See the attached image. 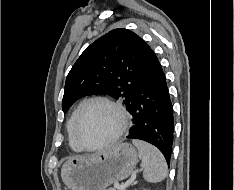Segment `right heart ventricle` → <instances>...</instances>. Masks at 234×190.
<instances>
[{
  "instance_id": "e07e8e85",
  "label": "right heart ventricle",
  "mask_w": 234,
  "mask_h": 190,
  "mask_svg": "<svg viewBox=\"0 0 234 190\" xmlns=\"http://www.w3.org/2000/svg\"><path fill=\"white\" fill-rule=\"evenodd\" d=\"M81 105L82 104H80L79 106H77L74 109V111L72 112V114L67 122V133H68V138H69V145L74 151H81V149L75 143V141L73 140V137H72V128H73L74 120H75V117H76L77 112L80 109Z\"/></svg>"
}]
</instances>
